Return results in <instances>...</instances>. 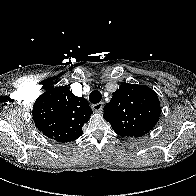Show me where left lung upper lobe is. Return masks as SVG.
Returning a JSON list of instances; mask_svg holds the SVG:
<instances>
[{
  "mask_svg": "<svg viewBox=\"0 0 196 196\" xmlns=\"http://www.w3.org/2000/svg\"><path fill=\"white\" fill-rule=\"evenodd\" d=\"M160 113L158 96L151 88L123 83L104 106L103 117L118 135L138 137L155 127Z\"/></svg>",
  "mask_w": 196,
  "mask_h": 196,
  "instance_id": "obj_1",
  "label": "left lung upper lobe"
}]
</instances>
